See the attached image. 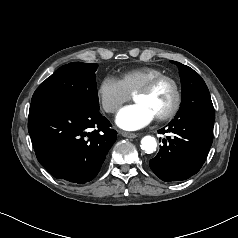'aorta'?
Masks as SVG:
<instances>
[{
    "instance_id": "aorta-1",
    "label": "aorta",
    "mask_w": 238,
    "mask_h": 238,
    "mask_svg": "<svg viewBox=\"0 0 238 238\" xmlns=\"http://www.w3.org/2000/svg\"><path fill=\"white\" fill-rule=\"evenodd\" d=\"M157 142L153 136L147 135L141 139V149L147 153L151 154L156 151Z\"/></svg>"
}]
</instances>
